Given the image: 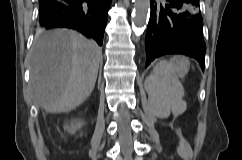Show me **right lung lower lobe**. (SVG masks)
Instances as JSON below:
<instances>
[{
	"label": "right lung lower lobe",
	"mask_w": 242,
	"mask_h": 160,
	"mask_svg": "<svg viewBox=\"0 0 242 160\" xmlns=\"http://www.w3.org/2000/svg\"><path fill=\"white\" fill-rule=\"evenodd\" d=\"M112 0H40L42 28H70L101 46Z\"/></svg>",
	"instance_id": "1"
}]
</instances>
